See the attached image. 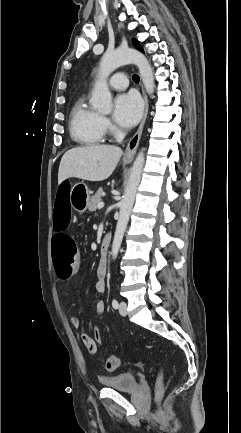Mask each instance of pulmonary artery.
Returning a JSON list of instances; mask_svg holds the SVG:
<instances>
[{
    "label": "pulmonary artery",
    "mask_w": 241,
    "mask_h": 433,
    "mask_svg": "<svg viewBox=\"0 0 241 433\" xmlns=\"http://www.w3.org/2000/svg\"><path fill=\"white\" fill-rule=\"evenodd\" d=\"M109 83L111 87L116 90H123L128 86L127 77L122 73L112 77Z\"/></svg>",
    "instance_id": "e3ab8cb5"
}]
</instances>
